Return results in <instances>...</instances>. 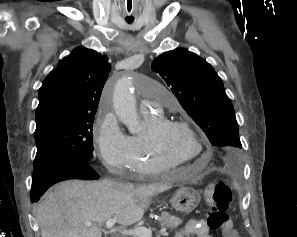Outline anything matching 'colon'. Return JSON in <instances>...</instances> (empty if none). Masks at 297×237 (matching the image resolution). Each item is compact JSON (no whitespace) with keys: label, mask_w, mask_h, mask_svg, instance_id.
<instances>
[{"label":"colon","mask_w":297,"mask_h":237,"mask_svg":"<svg viewBox=\"0 0 297 237\" xmlns=\"http://www.w3.org/2000/svg\"><path fill=\"white\" fill-rule=\"evenodd\" d=\"M209 208L207 225L212 230L221 231L225 237H242L234 228L228 216L232 201L230 188L224 182H218L207 189Z\"/></svg>","instance_id":"5ec220e1"}]
</instances>
